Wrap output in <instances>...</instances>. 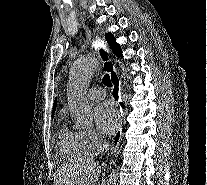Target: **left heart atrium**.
Wrapping results in <instances>:
<instances>
[{"label":"left heart atrium","instance_id":"obj_1","mask_svg":"<svg viewBox=\"0 0 207 185\" xmlns=\"http://www.w3.org/2000/svg\"><path fill=\"white\" fill-rule=\"evenodd\" d=\"M95 123L101 133L111 134L119 123V111L116 106L110 101L99 104L95 109Z\"/></svg>","mask_w":207,"mask_h":185}]
</instances>
